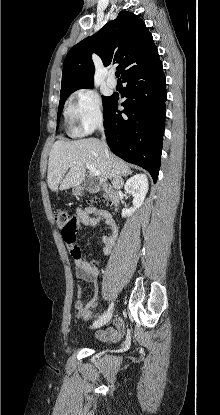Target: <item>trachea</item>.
<instances>
[{
  "label": "trachea",
  "instance_id": "3493384b",
  "mask_svg": "<svg viewBox=\"0 0 220 415\" xmlns=\"http://www.w3.org/2000/svg\"><path fill=\"white\" fill-rule=\"evenodd\" d=\"M115 75H116V77H117V78H119V76H120V71H116Z\"/></svg>",
  "mask_w": 220,
  "mask_h": 415
}]
</instances>
